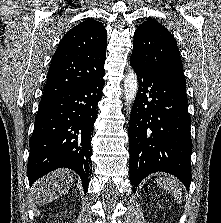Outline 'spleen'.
I'll return each mask as SVG.
<instances>
[{
  "label": "spleen",
  "mask_w": 221,
  "mask_h": 223,
  "mask_svg": "<svg viewBox=\"0 0 221 223\" xmlns=\"http://www.w3.org/2000/svg\"><path fill=\"white\" fill-rule=\"evenodd\" d=\"M160 185H163L166 190L171 192L174 195V198L178 201L181 202L182 196H181V189L179 187V184L177 181L173 178H160L159 181Z\"/></svg>",
  "instance_id": "obj_1"
}]
</instances>
